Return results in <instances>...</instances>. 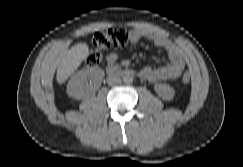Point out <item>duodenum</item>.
Here are the masks:
<instances>
[{
    "mask_svg": "<svg viewBox=\"0 0 243 167\" xmlns=\"http://www.w3.org/2000/svg\"><path fill=\"white\" fill-rule=\"evenodd\" d=\"M106 72L111 76L134 75L137 73L134 69L122 68L115 65H108L106 68Z\"/></svg>",
    "mask_w": 243,
    "mask_h": 167,
    "instance_id": "1",
    "label": "duodenum"
}]
</instances>
